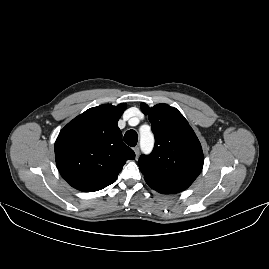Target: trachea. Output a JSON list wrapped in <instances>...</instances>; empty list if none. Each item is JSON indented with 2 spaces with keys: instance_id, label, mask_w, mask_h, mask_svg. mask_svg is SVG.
Here are the masks:
<instances>
[{
  "instance_id": "3493384b",
  "label": "trachea",
  "mask_w": 269,
  "mask_h": 269,
  "mask_svg": "<svg viewBox=\"0 0 269 269\" xmlns=\"http://www.w3.org/2000/svg\"><path fill=\"white\" fill-rule=\"evenodd\" d=\"M138 135L135 130H129L124 135V141L127 145L134 147L137 144Z\"/></svg>"
}]
</instances>
